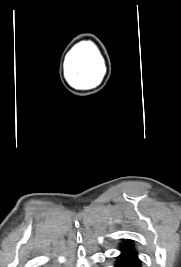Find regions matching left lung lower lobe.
<instances>
[{"label": "left lung lower lobe", "instance_id": "1", "mask_svg": "<svg viewBox=\"0 0 181 267\" xmlns=\"http://www.w3.org/2000/svg\"><path fill=\"white\" fill-rule=\"evenodd\" d=\"M115 267H141V261L132 242L126 241L121 246V255L117 257Z\"/></svg>", "mask_w": 181, "mask_h": 267}]
</instances>
